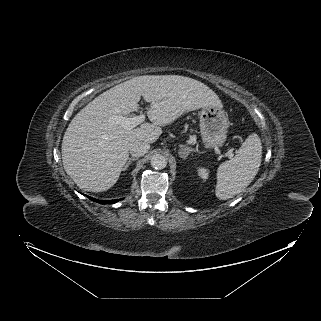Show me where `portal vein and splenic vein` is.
<instances>
[{
	"instance_id": "18ae733b",
	"label": "portal vein and splenic vein",
	"mask_w": 321,
	"mask_h": 321,
	"mask_svg": "<svg viewBox=\"0 0 321 321\" xmlns=\"http://www.w3.org/2000/svg\"><path fill=\"white\" fill-rule=\"evenodd\" d=\"M145 120L144 115H139L136 117L128 118L123 116H114L110 119V121L114 124H119L125 129H133L137 125L141 124Z\"/></svg>"
}]
</instances>
